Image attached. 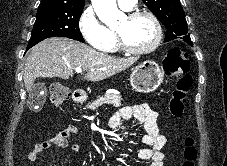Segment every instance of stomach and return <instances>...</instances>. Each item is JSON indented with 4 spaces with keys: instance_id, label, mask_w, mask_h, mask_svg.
<instances>
[{
    "instance_id": "obj_1",
    "label": "stomach",
    "mask_w": 227,
    "mask_h": 166,
    "mask_svg": "<svg viewBox=\"0 0 227 166\" xmlns=\"http://www.w3.org/2000/svg\"><path fill=\"white\" fill-rule=\"evenodd\" d=\"M163 80V71L154 61H144L131 74L130 83L134 90L141 93L155 91Z\"/></svg>"
}]
</instances>
